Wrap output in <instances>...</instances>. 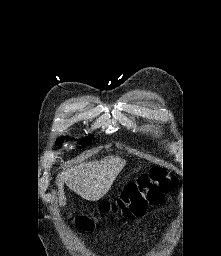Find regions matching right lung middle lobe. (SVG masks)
I'll list each match as a JSON object with an SVG mask.
<instances>
[{"label": "right lung middle lobe", "mask_w": 221, "mask_h": 256, "mask_svg": "<svg viewBox=\"0 0 221 256\" xmlns=\"http://www.w3.org/2000/svg\"><path fill=\"white\" fill-rule=\"evenodd\" d=\"M92 139H93V136L90 135L88 138L80 140V143L82 144L81 147H84V146H86L87 144H89ZM60 141H63V140H62L61 138H59V139L57 140V142H58L57 145H60V144H61Z\"/></svg>", "instance_id": "dd1d6c3e"}]
</instances>
